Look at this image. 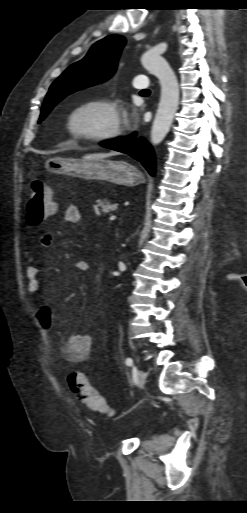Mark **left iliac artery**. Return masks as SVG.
<instances>
[{
    "label": "left iliac artery",
    "instance_id": "1",
    "mask_svg": "<svg viewBox=\"0 0 247 513\" xmlns=\"http://www.w3.org/2000/svg\"><path fill=\"white\" fill-rule=\"evenodd\" d=\"M133 364V360L131 358L126 359V365L131 366Z\"/></svg>",
    "mask_w": 247,
    "mask_h": 513
}]
</instances>
